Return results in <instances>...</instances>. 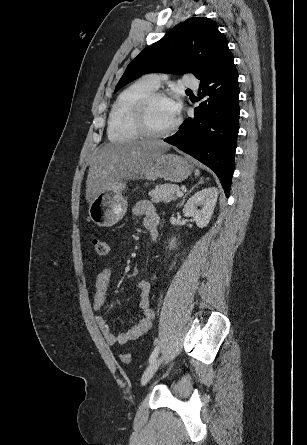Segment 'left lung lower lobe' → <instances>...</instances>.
<instances>
[{"mask_svg":"<svg viewBox=\"0 0 307 445\" xmlns=\"http://www.w3.org/2000/svg\"><path fill=\"white\" fill-rule=\"evenodd\" d=\"M199 107L179 131L164 139L211 168L229 196L239 131L238 72L233 56L200 80Z\"/></svg>","mask_w":307,"mask_h":445,"instance_id":"0a47b994","label":"left lung lower lobe"}]
</instances>
